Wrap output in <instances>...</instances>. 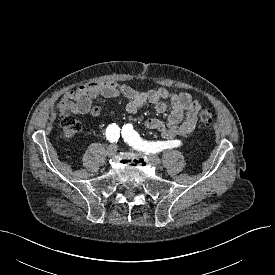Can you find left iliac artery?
<instances>
[{"mask_svg":"<svg viewBox=\"0 0 275 275\" xmlns=\"http://www.w3.org/2000/svg\"><path fill=\"white\" fill-rule=\"evenodd\" d=\"M122 136L124 140L137 150H142L146 153H158L165 149H172L182 145L180 140L171 141H145L140 135L133 129L132 124H126L122 128Z\"/></svg>","mask_w":275,"mask_h":275,"instance_id":"obj_1","label":"left iliac artery"}]
</instances>
